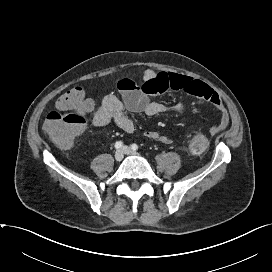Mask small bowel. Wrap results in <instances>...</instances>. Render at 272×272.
<instances>
[{
    "label": "small bowel",
    "instance_id": "obj_1",
    "mask_svg": "<svg viewBox=\"0 0 272 272\" xmlns=\"http://www.w3.org/2000/svg\"><path fill=\"white\" fill-rule=\"evenodd\" d=\"M121 98L114 94L104 97L100 107L92 115V123L96 127H104L114 122L121 130L132 133L135 129L127 112L143 113L149 116L159 115L168 111L186 114L184 104L171 108L162 105L151 96L172 90H181L198 97L215 107L220 114V122L210 130L212 135L224 130L229 123V114L219 95L207 84L194 78L172 72H155L145 70L141 74V82L130 78H122L117 83ZM148 139L161 143H171L170 137L155 131L145 132Z\"/></svg>",
    "mask_w": 272,
    "mask_h": 272
}]
</instances>
